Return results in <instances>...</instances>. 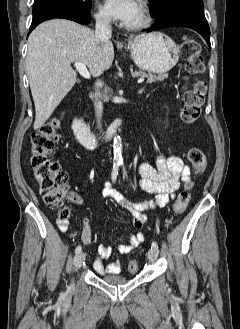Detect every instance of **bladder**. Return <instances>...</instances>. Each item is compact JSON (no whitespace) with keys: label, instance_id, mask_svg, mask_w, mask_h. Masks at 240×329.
<instances>
[{"label":"bladder","instance_id":"1","mask_svg":"<svg viewBox=\"0 0 240 329\" xmlns=\"http://www.w3.org/2000/svg\"><path fill=\"white\" fill-rule=\"evenodd\" d=\"M104 281L109 284L120 285L126 283L128 279L123 276H110V277H106Z\"/></svg>","mask_w":240,"mask_h":329}]
</instances>
